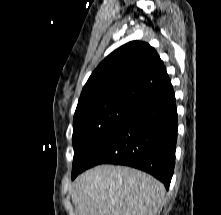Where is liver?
<instances>
[{
  "mask_svg": "<svg viewBox=\"0 0 221 215\" xmlns=\"http://www.w3.org/2000/svg\"><path fill=\"white\" fill-rule=\"evenodd\" d=\"M164 185L125 166L100 165L77 177L71 191L79 215H156Z\"/></svg>",
  "mask_w": 221,
  "mask_h": 215,
  "instance_id": "obj_1",
  "label": "liver"
}]
</instances>
